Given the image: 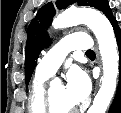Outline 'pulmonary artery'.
Segmentation results:
<instances>
[{
    "label": "pulmonary artery",
    "mask_w": 121,
    "mask_h": 113,
    "mask_svg": "<svg viewBox=\"0 0 121 113\" xmlns=\"http://www.w3.org/2000/svg\"><path fill=\"white\" fill-rule=\"evenodd\" d=\"M91 43L87 34H70L61 39L56 46L47 51L40 60L36 72L51 76L62 65L71 51L91 50Z\"/></svg>",
    "instance_id": "1"
}]
</instances>
